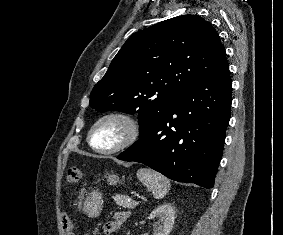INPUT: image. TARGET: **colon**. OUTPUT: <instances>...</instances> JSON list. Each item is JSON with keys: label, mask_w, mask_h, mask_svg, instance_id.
Listing matches in <instances>:
<instances>
[{"label": "colon", "mask_w": 283, "mask_h": 235, "mask_svg": "<svg viewBox=\"0 0 283 235\" xmlns=\"http://www.w3.org/2000/svg\"><path fill=\"white\" fill-rule=\"evenodd\" d=\"M82 179V173L79 168L77 167H70L67 170V181L69 183H77ZM67 235H70L71 230L65 228Z\"/></svg>", "instance_id": "colon-1"}]
</instances>
